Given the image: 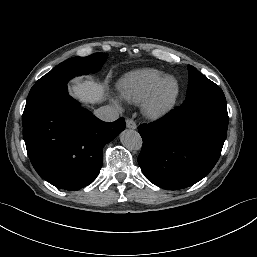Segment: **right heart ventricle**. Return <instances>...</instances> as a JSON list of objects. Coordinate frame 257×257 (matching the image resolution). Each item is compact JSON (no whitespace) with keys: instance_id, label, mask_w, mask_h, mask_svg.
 <instances>
[{"instance_id":"e07e8e85","label":"right heart ventricle","mask_w":257,"mask_h":257,"mask_svg":"<svg viewBox=\"0 0 257 257\" xmlns=\"http://www.w3.org/2000/svg\"><path fill=\"white\" fill-rule=\"evenodd\" d=\"M163 76L164 72L152 68L130 72L120 79L117 86L119 94L130 103L141 104Z\"/></svg>"}]
</instances>
